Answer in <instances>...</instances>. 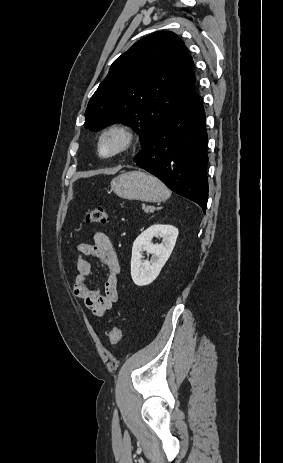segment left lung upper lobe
Listing matches in <instances>:
<instances>
[{
  "label": "left lung upper lobe",
  "instance_id": "5c2ea615",
  "mask_svg": "<svg viewBox=\"0 0 283 463\" xmlns=\"http://www.w3.org/2000/svg\"><path fill=\"white\" fill-rule=\"evenodd\" d=\"M193 60L169 31L136 42L111 65L91 97L84 127L98 131L123 121L140 134L144 146L154 131L195 95Z\"/></svg>",
  "mask_w": 283,
  "mask_h": 463
}]
</instances>
